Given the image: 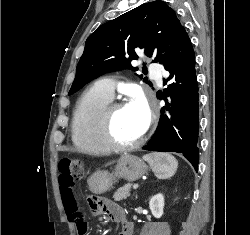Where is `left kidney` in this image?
Here are the masks:
<instances>
[{"label": "left kidney", "instance_id": "obj_1", "mask_svg": "<svg viewBox=\"0 0 250 235\" xmlns=\"http://www.w3.org/2000/svg\"><path fill=\"white\" fill-rule=\"evenodd\" d=\"M149 208L152 212V215L155 218H161V216L163 215V209H164L163 194L159 193L153 196L149 201Z\"/></svg>", "mask_w": 250, "mask_h": 235}]
</instances>
